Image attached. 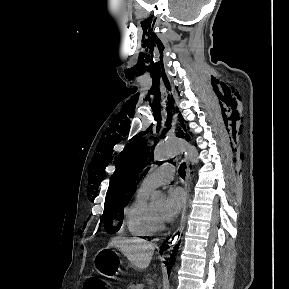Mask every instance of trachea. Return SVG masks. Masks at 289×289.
<instances>
[{"instance_id":"3493384b","label":"trachea","mask_w":289,"mask_h":289,"mask_svg":"<svg viewBox=\"0 0 289 289\" xmlns=\"http://www.w3.org/2000/svg\"><path fill=\"white\" fill-rule=\"evenodd\" d=\"M185 169H186V164L182 163L179 167V175L181 178H185V175H186Z\"/></svg>"}]
</instances>
